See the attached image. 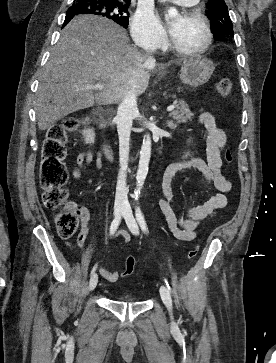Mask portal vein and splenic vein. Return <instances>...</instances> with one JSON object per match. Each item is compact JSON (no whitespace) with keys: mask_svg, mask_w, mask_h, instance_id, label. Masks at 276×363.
I'll return each mask as SVG.
<instances>
[{"mask_svg":"<svg viewBox=\"0 0 276 363\" xmlns=\"http://www.w3.org/2000/svg\"><path fill=\"white\" fill-rule=\"evenodd\" d=\"M88 88L93 89V90H102L104 88V85L103 84H95V85L89 86ZM174 109H175V105H170V106L167 107L168 112L173 111Z\"/></svg>","mask_w":276,"mask_h":363,"instance_id":"obj_1","label":"portal vein and splenic vein"}]
</instances>
